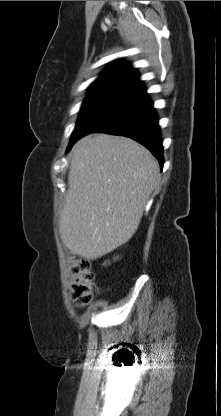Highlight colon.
Instances as JSON below:
<instances>
[{"instance_id": "obj_1", "label": "colon", "mask_w": 221, "mask_h": 416, "mask_svg": "<svg viewBox=\"0 0 221 416\" xmlns=\"http://www.w3.org/2000/svg\"><path fill=\"white\" fill-rule=\"evenodd\" d=\"M71 269L73 281L70 286V296L76 307L83 308L88 305L93 295L94 275L91 263L85 258L72 255Z\"/></svg>"}]
</instances>
